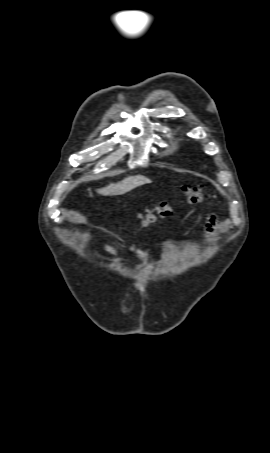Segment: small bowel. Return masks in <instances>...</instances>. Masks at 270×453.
I'll use <instances>...</instances> for the list:
<instances>
[{
  "label": "small bowel",
  "instance_id": "obj_1",
  "mask_svg": "<svg viewBox=\"0 0 270 453\" xmlns=\"http://www.w3.org/2000/svg\"><path fill=\"white\" fill-rule=\"evenodd\" d=\"M217 217L215 215H211L208 217L206 224H205V236L206 238H210L213 236V234L216 231L217 227ZM95 245L98 247L102 248L103 250L107 251L108 253L112 255H119L118 250L111 244L105 243V242H94ZM132 253L135 254L137 257V260L134 262L130 263V266L138 273H142L144 269L145 262L147 260V252L145 251H140V250H135L133 248L130 249Z\"/></svg>",
  "mask_w": 270,
  "mask_h": 453
}]
</instances>
